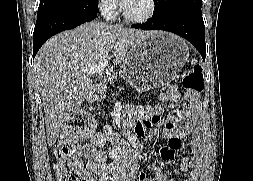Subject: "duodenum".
Here are the masks:
<instances>
[{"instance_id":"obj_1","label":"duodenum","mask_w":253,"mask_h":181,"mask_svg":"<svg viewBox=\"0 0 253 181\" xmlns=\"http://www.w3.org/2000/svg\"><path fill=\"white\" fill-rule=\"evenodd\" d=\"M103 88L97 87V89L93 92L94 99H98L103 95Z\"/></svg>"}]
</instances>
